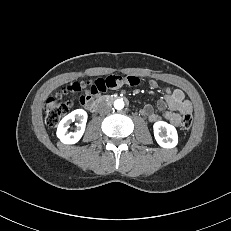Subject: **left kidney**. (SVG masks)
I'll return each instance as SVG.
<instances>
[{
	"mask_svg": "<svg viewBox=\"0 0 231 231\" xmlns=\"http://www.w3.org/2000/svg\"><path fill=\"white\" fill-rule=\"evenodd\" d=\"M154 137L163 148H174L178 143L176 128L164 121L155 122L153 125Z\"/></svg>",
	"mask_w": 231,
	"mask_h": 231,
	"instance_id": "obj_1",
	"label": "left kidney"
}]
</instances>
